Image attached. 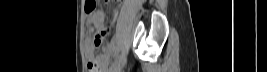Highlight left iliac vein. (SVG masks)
<instances>
[{"instance_id":"obj_1","label":"left iliac vein","mask_w":267,"mask_h":72,"mask_svg":"<svg viewBox=\"0 0 267 72\" xmlns=\"http://www.w3.org/2000/svg\"><path fill=\"white\" fill-rule=\"evenodd\" d=\"M120 67H121V65H117L113 69H110V72H119L120 71Z\"/></svg>"}]
</instances>
